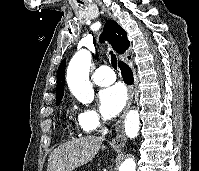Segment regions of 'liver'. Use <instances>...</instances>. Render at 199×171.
I'll use <instances>...</instances> for the list:
<instances>
[{
  "label": "liver",
  "instance_id": "liver-1",
  "mask_svg": "<svg viewBox=\"0 0 199 171\" xmlns=\"http://www.w3.org/2000/svg\"><path fill=\"white\" fill-rule=\"evenodd\" d=\"M102 138L87 136L72 139L57 147L49 156L47 171H73L90 162L102 145Z\"/></svg>",
  "mask_w": 199,
  "mask_h": 171
}]
</instances>
